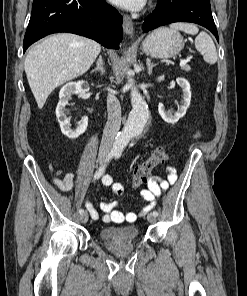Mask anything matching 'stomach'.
<instances>
[{
  "mask_svg": "<svg viewBox=\"0 0 247 296\" xmlns=\"http://www.w3.org/2000/svg\"><path fill=\"white\" fill-rule=\"evenodd\" d=\"M184 48L180 33L169 28H159L150 33L143 41L142 51L155 58H172Z\"/></svg>",
  "mask_w": 247,
  "mask_h": 296,
  "instance_id": "obj_1",
  "label": "stomach"
}]
</instances>
